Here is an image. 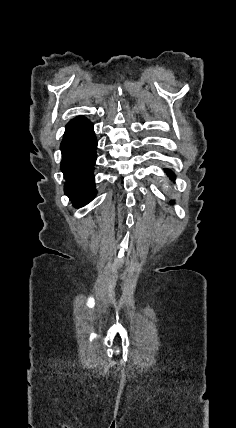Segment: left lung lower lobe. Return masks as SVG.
Here are the masks:
<instances>
[{
    "label": "left lung lower lobe",
    "instance_id": "left-lung-lower-lobe-1",
    "mask_svg": "<svg viewBox=\"0 0 236 428\" xmlns=\"http://www.w3.org/2000/svg\"><path fill=\"white\" fill-rule=\"evenodd\" d=\"M164 170L170 176V178L174 179L175 176L171 170H169V169H164ZM171 203H174V201H171Z\"/></svg>",
    "mask_w": 236,
    "mask_h": 428
}]
</instances>
